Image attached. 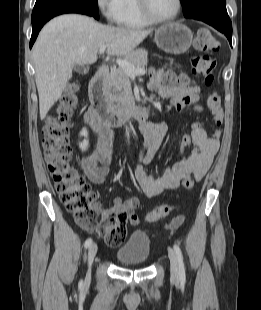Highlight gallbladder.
Returning a JSON list of instances; mask_svg holds the SVG:
<instances>
[{
	"label": "gallbladder",
	"instance_id": "1",
	"mask_svg": "<svg viewBox=\"0 0 261 310\" xmlns=\"http://www.w3.org/2000/svg\"><path fill=\"white\" fill-rule=\"evenodd\" d=\"M75 69L80 73H83L85 71V67L82 65H76Z\"/></svg>",
	"mask_w": 261,
	"mask_h": 310
}]
</instances>
